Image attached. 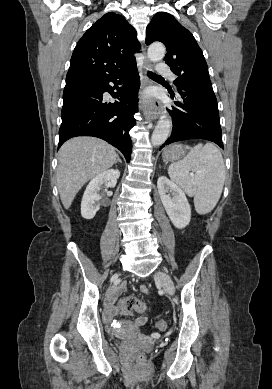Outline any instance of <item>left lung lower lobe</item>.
Listing matches in <instances>:
<instances>
[{
  "label": "left lung lower lobe",
  "instance_id": "left-lung-lower-lobe-1",
  "mask_svg": "<svg viewBox=\"0 0 272 389\" xmlns=\"http://www.w3.org/2000/svg\"><path fill=\"white\" fill-rule=\"evenodd\" d=\"M176 86L183 102H175L177 108L169 111L172 134L160 149L187 139L209 140L223 148L217 99L211 81H183Z\"/></svg>",
  "mask_w": 272,
  "mask_h": 389
}]
</instances>
